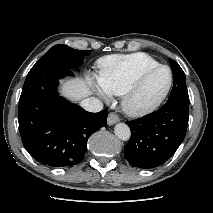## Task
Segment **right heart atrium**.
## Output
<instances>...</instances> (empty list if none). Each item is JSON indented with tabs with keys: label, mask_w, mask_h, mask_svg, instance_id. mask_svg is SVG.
<instances>
[{
	"label": "right heart atrium",
	"mask_w": 213,
	"mask_h": 213,
	"mask_svg": "<svg viewBox=\"0 0 213 213\" xmlns=\"http://www.w3.org/2000/svg\"><path fill=\"white\" fill-rule=\"evenodd\" d=\"M98 92L101 96H103L105 98L108 96V93L104 91V89L101 87V85H100V87H98Z\"/></svg>",
	"instance_id": "obj_1"
}]
</instances>
